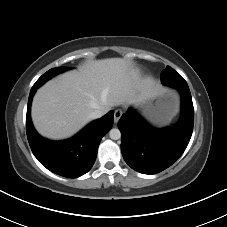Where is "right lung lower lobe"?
<instances>
[{
  "mask_svg": "<svg viewBox=\"0 0 227 227\" xmlns=\"http://www.w3.org/2000/svg\"><path fill=\"white\" fill-rule=\"evenodd\" d=\"M37 88L32 87L30 91L26 115V133L34 156L55 174L68 178L82 176L93 166L100 141L112 128L113 111L93 121L71 139L50 141L36 132L30 118L31 102Z\"/></svg>",
  "mask_w": 227,
  "mask_h": 227,
  "instance_id": "right-lung-lower-lobe-1",
  "label": "right lung lower lobe"
}]
</instances>
